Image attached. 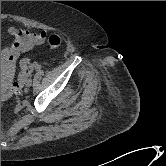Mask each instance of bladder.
I'll return each mask as SVG.
<instances>
[{
  "mask_svg": "<svg viewBox=\"0 0 166 166\" xmlns=\"http://www.w3.org/2000/svg\"><path fill=\"white\" fill-rule=\"evenodd\" d=\"M10 82V78L5 81H1V92H3L9 86Z\"/></svg>",
  "mask_w": 166,
  "mask_h": 166,
  "instance_id": "obj_1",
  "label": "bladder"
}]
</instances>
